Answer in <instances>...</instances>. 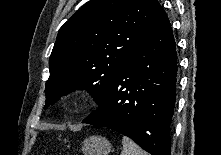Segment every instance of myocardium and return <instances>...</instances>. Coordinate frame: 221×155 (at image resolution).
I'll use <instances>...</instances> for the list:
<instances>
[{
	"instance_id": "1",
	"label": "myocardium",
	"mask_w": 221,
	"mask_h": 155,
	"mask_svg": "<svg viewBox=\"0 0 221 155\" xmlns=\"http://www.w3.org/2000/svg\"><path fill=\"white\" fill-rule=\"evenodd\" d=\"M70 101L72 104H78L82 101V96L80 94H74L71 96Z\"/></svg>"
}]
</instances>
